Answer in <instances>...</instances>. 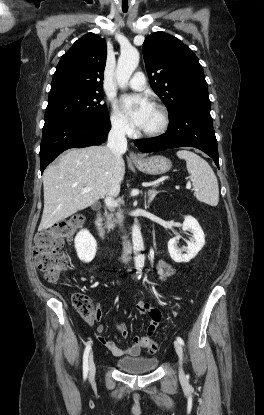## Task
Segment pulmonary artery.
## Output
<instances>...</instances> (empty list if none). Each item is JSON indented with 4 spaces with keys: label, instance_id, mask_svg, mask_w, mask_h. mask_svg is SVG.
Instances as JSON below:
<instances>
[{
    "label": "pulmonary artery",
    "instance_id": "e3ab8cb5",
    "mask_svg": "<svg viewBox=\"0 0 264 415\" xmlns=\"http://www.w3.org/2000/svg\"><path fill=\"white\" fill-rule=\"evenodd\" d=\"M128 86L134 90H143L146 87V79L142 72H136L128 82Z\"/></svg>",
    "mask_w": 264,
    "mask_h": 415
}]
</instances>
